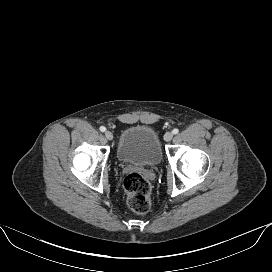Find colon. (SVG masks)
<instances>
[{
  "label": "colon",
  "instance_id": "obj_1",
  "mask_svg": "<svg viewBox=\"0 0 272 272\" xmlns=\"http://www.w3.org/2000/svg\"><path fill=\"white\" fill-rule=\"evenodd\" d=\"M128 206L139 214H145L151 207V184L140 173L132 172L123 181Z\"/></svg>",
  "mask_w": 272,
  "mask_h": 272
}]
</instances>
